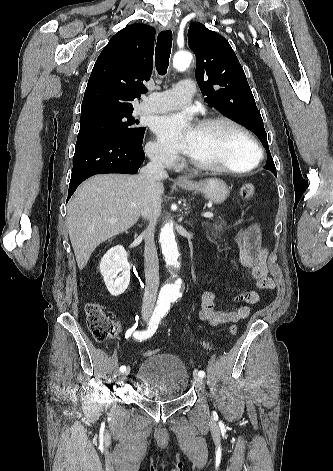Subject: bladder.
Wrapping results in <instances>:
<instances>
[{"mask_svg":"<svg viewBox=\"0 0 333 471\" xmlns=\"http://www.w3.org/2000/svg\"><path fill=\"white\" fill-rule=\"evenodd\" d=\"M136 380L142 395L151 401L170 402L187 391L190 377L183 360L172 353H156L139 365Z\"/></svg>","mask_w":333,"mask_h":471,"instance_id":"bladder-1","label":"bladder"}]
</instances>
